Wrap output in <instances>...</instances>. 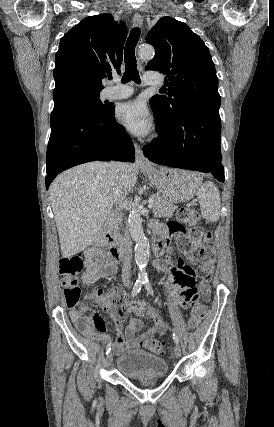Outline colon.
<instances>
[{"instance_id": "colon-1", "label": "colon", "mask_w": 274, "mask_h": 427, "mask_svg": "<svg viewBox=\"0 0 274 427\" xmlns=\"http://www.w3.org/2000/svg\"><path fill=\"white\" fill-rule=\"evenodd\" d=\"M178 222L173 225L176 246L174 248H190L193 240L201 243L199 248H214V241L211 232L207 229L197 227L199 216L196 210L190 206L181 207L177 212ZM185 226H188L186 228ZM187 233V235H186ZM172 251V250H171ZM169 251V253H171ZM83 269V258L79 253L63 256L59 259L58 270L62 277L64 301L69 309H78L82 301L86 299H96L103 294V289L96 287L91 291L83 293L78 284V275ZM191 313L195 316L190 321L191 329H200L201 321L197 318H207L209 315L205 305L191 306ZM139 347L141 350L155 352L161 359L169 358V351L165 350L159 340L145 338Z\"/></svg>"}]
</instances>
